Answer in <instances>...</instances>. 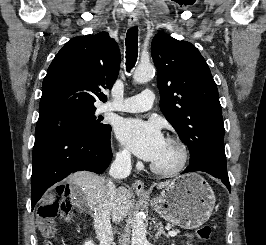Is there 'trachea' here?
Returning <instances> with one entry per match:
<instances>
[{"label": "trachea", "instance_id": "obj_1", "mask_svg": "<svg viewBox=\"0 0 266 245\" xmlns=\"http://www.w3.org/2000/svg\"><path fill=\"white\" fill-rule=\"evenodd\" d=\"M126 67L127 70H131L136 61L138 55V28L133 27L127 31L126 35Z\"/></svg>", "mask_w": 266, "mask_h": 245}]
</instances>
